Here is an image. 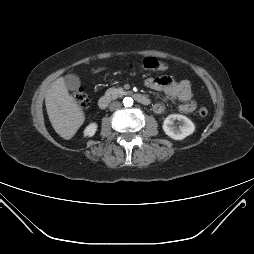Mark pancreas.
<instances>
[{
    "label": "pancreas",
    "instance_id": "pancreas-1",
    "mask_svg": "<svg viewBox=\"0 0 254 254\" xmlns=\"http://www.w3.org/2000/svg\"><path fill=\"white\" fill-rule=\"evenodd\" d=\"M125 93V91L122 89V88H109L107 91H106V94L107 95H110L112 97H118V96H121Z\"/></svg>",
    "mask_w": 254,
    "mask_h": 254
}]
</instances>
